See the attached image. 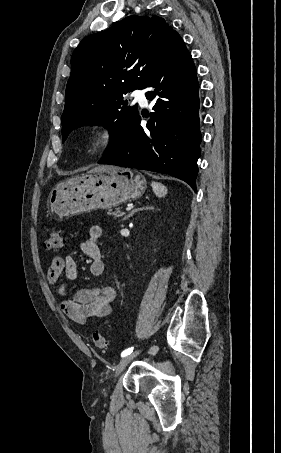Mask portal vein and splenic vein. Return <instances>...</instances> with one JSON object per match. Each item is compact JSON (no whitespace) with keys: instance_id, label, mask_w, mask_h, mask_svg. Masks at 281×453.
I'll return each mask as SVG.
<instances>
[{"instance_id":"portal-vein-and-splenic-vein-1","label":"portal vein and splenic vein","mask_w":281,"mask_h":453,"mask_svg":"<svg viewBox=\"0 0 281 453\" xmlns=\"http://www.w3.org/2000/svg\"><path fill=\"white\" fill-rule=\"evenodd\" d=\"M133 207H134L133 205H130V207H126L125 208V211L126 212H131Z\"/></svg>"}]
</instances>
